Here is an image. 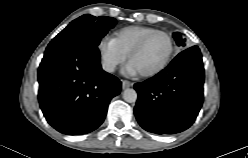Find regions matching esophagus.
Segmentation results:
<instances>
[{"instance_id":"1","label":"esophagus","mask_w":248,"mask_h":158,"mask_svg":"<svg viewBox=\"0 0 248 158\" xmlns=\"http://www.w3.org/2000/svg\"><path fill=\"white\" fill-rule=\"evenodd\" d=\"M132 86V83L130 81H127V80H122V89H127L129 87Z\"/></svg>"}]
</instances>
